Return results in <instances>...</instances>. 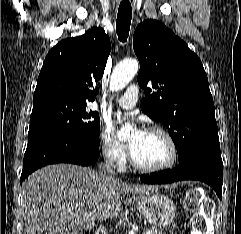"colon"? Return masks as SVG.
I'll use <instances>...</instances> for the list:
<instances>
[{
	"label": "colon",
	"mask_w": 241,
	"mask_h": 234,
	"mask_svg": "<svg viewBox=\"0 0 241 234\" xmlns=\"http://www.w3.org/2000/svg\"><path fill=\"white\" fill-rule=\"evenodd\" d=\"M185 207L194 212L191 220V234H208V217L212 211V204L202 189L196 188L189 192Z\"/></svg>",
	"instance_id": "1"
}]
</instances>
